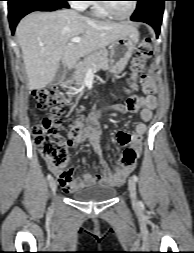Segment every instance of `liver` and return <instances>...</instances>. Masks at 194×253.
<instances>
[{"label": "liver", "mask_w": 194, "mask_h": 253, "mask_svg": "<svg viewBox=\"0 0 194 253\" xmlns=\"http://www.w3.org/2000/svg\"><path fill=\"white\" fill-rule=\"evenodd\" d=\"M137 38V28L127 22L98 21L76 11L33 12L16 28L28 89H42L52 82L60 62L73 69L77 61L122 36ZM81 36V37H80ZM80 37V42H70Z\"/></svg>", "instance_id": "1"}]
</instances>
